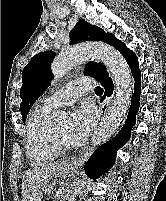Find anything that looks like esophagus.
Returning <instances> with one entry per match:
<instances>
[{
  "label": "esophagus",
  "instance_id": "34e87169",
  "mask_svg": "<svg viewBox=\"0 0 166 201\" xmlns=\"http://www.w3.org/2000/svg\"><path fill=\"white\" fill-rule=\"evenodd\" d=\"M113 102V95L112 96H106L103 100V102L99 103V109L101 112L102 118L106 116L107 112L109 111L111 104ZM93 148L90 147L87 149L79 158L72 161V164L79 165L84 162L89 156L92 154Z\"/></svg>",
  "mask_w": 166,
  "mask_h": 201
}]
</instances>
